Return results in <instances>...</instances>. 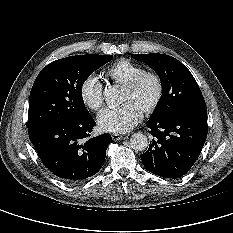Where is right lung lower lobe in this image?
I'll return each mask as SVG.
<instances>
[{
  "instance_id": "obj_1",
  "label": "right lung lower lobe",
  "mask_w": 233,
  "mask_h": 233,
  "mask_svg": "<svg viewBox=\"0 0 233 233\" xmlns=\"http://www.w3.org/2000/svg\"><path fill=\"white\" fill-rule=\"evenodd\" d=\"M95 125L91 115H86L73 123L33 130L29 138L46 168L64 182L75 183L101 169L112 142L108 133L88 138Z\"/></svg>"
}]
</instances>
